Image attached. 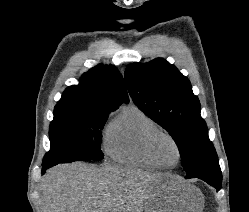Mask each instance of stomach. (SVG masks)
<instances>
[{
  "label": "stomach",
  "mask_w": 249,
  "mask_h": 212,
  "mask_svg": "<svg viewBox=\"0 0 249 212\" xmlns=\"http://www.w3.org/2000/svg\"><path fill=\"white\" fill-rule=\"evenodd\" d=\"M204 196L180 175H155L148 188L146 212H202Z\"/></svg>",
  "instance_id": "obj_1"
}]
</instances>
